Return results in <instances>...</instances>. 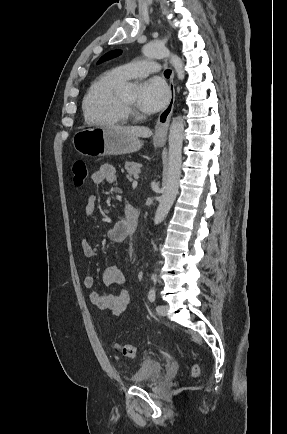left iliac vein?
<instances>
[{
    "label": "left iliac vein",
    "instance_id": "left-iliac-vein-1",
    "mask_svg": "<svg viewBox=\"0 0 287 434\" xmlns=\"http://www.w3.org/2000/svg\"><path fill=\"white\" fill-rule=\"evenodd\" d=\"M156 311L160 316H166L168 312V307L164 304H160L157 306Z\"/></svg>",
    "mask_w": 287,
    "mask_h": 434
}]
</instances>
